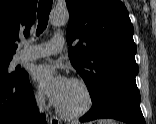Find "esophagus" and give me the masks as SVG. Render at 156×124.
<instances>
[{"label": "esophagus", "mask_w": 156, "mask_h": 124, "mask_svg": "<svg viewBox=\"0 0 156 124\" xmlns=\"http://www.w3.org/2000/svg\"><path fill=\"white\" fill-rule=\"evenodd\" d=\"M50 124H61V121L58 117L56 116H51L50 117Z\"/></svg>", "instance_id": "1"}]
</instances>
